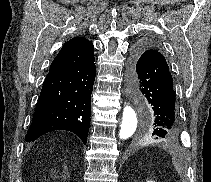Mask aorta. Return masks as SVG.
Masks as SVG:
<instances>
[{"instance_id": "1", "label": "aorta", "mask_w": 211, "mask_h": 182, "mask_svg": "<svg viewBox=\"0 0 211 182\" xmlns=\"http://www.w3.org/2000/svg\"><path fill=\"white\" fill-rule=\"evenodd\" d=\"M137 125H138L137 113L135 112L132 106L126 105L123 109L119 138L125 140L131 137L135 133Z\"/></svg>"}]
</instances>
